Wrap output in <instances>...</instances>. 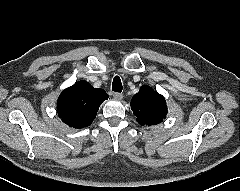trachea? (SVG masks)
Wrapping results in <instances>:
<instances>
[{"instance_id": "trachea-1", "label": "trachea", "mask_w": 240, "mask_h": 191, "mask_svg": "<svg viewBox=\"0 0 240 191\" xmlns=\"http://www.w3.org/2000/svg\"><path fill=\"white\" fill-rule=\"evenodd\" d=\"M112 90L114 92H121L122 91V83H121V79L119 76H115L113 79V83H112Z\"/></svg>"}]
</instances>
